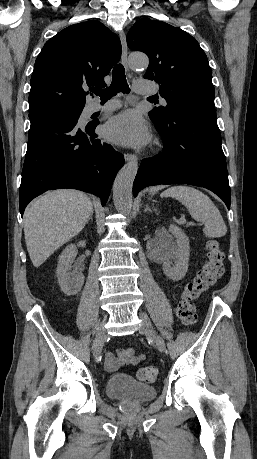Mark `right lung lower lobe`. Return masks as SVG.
I'll return each instance as SVG.
<instances>
[{"label":"right lung lower lobe","instance_id":"1","mask_svg":"<svg viewBox=\"0 0 257 459\" xmlns=\"http://www.w3.org/2000/svg\"><path fill=\"white\" fill-rule=\"evenodd\" d=\"M79 117H30L28 147L20 185V213L47 190L73 188L95 194L104 205L124 157L94 133L98 122Z\"/></svg>","mask_w":257,"mask_h":459}]
</instances>
